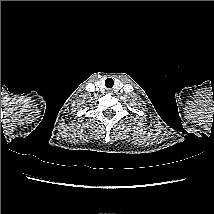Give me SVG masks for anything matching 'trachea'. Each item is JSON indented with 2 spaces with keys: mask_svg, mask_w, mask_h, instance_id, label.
Segmentation results:
<instances>
[{
  "mask_svg": "<svg viewBox=\"0 0 214 214\" xmlns=\"http://www.w3.org/2000/svg\"><path fill=\"white\" fill-rule=\"evenodd\" d=\"M105 85H106L107 88L113 87V85H114L113 79L112 78H107L106 81H105Z\"/></svg>",
  "mask_w": 214,
  "mask_h": 214,
  "instance_id": "3493384b",
  "label": "trachea"
}]
</instances>
